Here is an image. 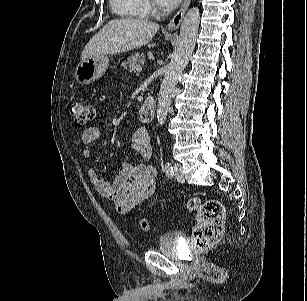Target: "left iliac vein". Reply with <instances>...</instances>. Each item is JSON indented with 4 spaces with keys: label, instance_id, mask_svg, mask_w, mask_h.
<instances>
[{
    "label": "left iliac vein",
    "instance_id": "obj_1",
    "mask_svg": "<svg viewBox=\"0 0 307 301\" xmlns=\"http://www.w3.org/2000/svg\"><path fill=\"white\" fill-rule=\"evenodd\" d=\"M174 175H175V178L177 179V181H179L181 183L185 182V177H184V174H183L182 165L180 163L174 164Z\"/></svg>",
    "mask_w": 307,
    "mask_h": 301
}]
</instances>
